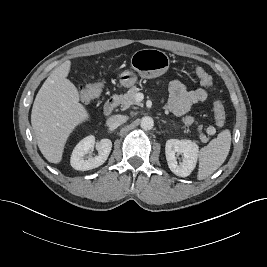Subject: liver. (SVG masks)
<instances>
[{
  "instance_id": "obj_1",
  "label": "liver",
  "mask_w": 267,
  "mask_h": 267,
  "mask_svg": "<svg viewBox=\"0 0 267 267\" xmlns=\"http://www.w3.org/2000/svg\"><path fill=\"white\" fill-rule=\"evenodd\" d=\"M71 62L65 61L45 80L33 103L31 124L38 147L51 163H60L68 137L89 114L79 102L76 86L67 79Z\"/></svg>"
}]
</instances>
